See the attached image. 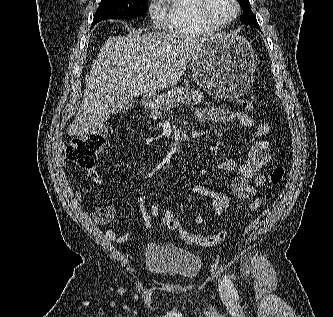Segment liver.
<instances>
[{
  "label": "liver",
  "mask_w": 333,
  "mask_h": 317,
  "mask_svg": "<svg viewBox=\"0 0 333 317\" xmlns=\"http://www.w3.org/2000/svg\"><path fill=\"white\" fill-rule=\"evenodd\" d=\"M142 31L104 43L85 79L82 104L68 135L87 138L101 129L116 96L135 97L177 85L203 44L214 37Z\"/></svg>",
  "instance_id": "liver-1"
}]
</instances>
